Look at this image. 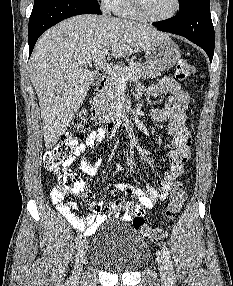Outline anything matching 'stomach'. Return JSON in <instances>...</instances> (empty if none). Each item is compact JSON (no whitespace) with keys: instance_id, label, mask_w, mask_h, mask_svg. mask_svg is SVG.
<instances>
[{"instance_id":"0dacf381","label":"stomach","mask_w":233,"mask_h":286,"mask_svg":"<svg viewBox=\"0 0 233 286\" xmlns=\"http://www.w3.org/2000/svg\"><path fill=\"white\" fill-rule=\"evenodd\" d=\"M180 57L178 45L169 37L155 43L145 52L146 64L158 72L171 69Z\"/></svg>"}]
</instances>
